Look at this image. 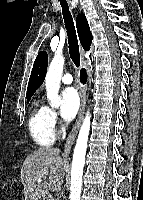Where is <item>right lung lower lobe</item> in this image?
Segmentation results:
<instances>
[{
	"label": "right lung lower lobe",
	"mask_w": 143,
	"mask_h": 200,
	"mask_svg": "<svg viewBox=\"0 0 143 200\" xmlns=\"http://www.w3.org/2000/svg\"><path fill=\"white\" fill-rule=\"evenodd\" d=\"M86 78H87L86 71L84 69H82L81 73H80L81 82L85 83L86 82Z\"/></svg>",
	"instance_id": "obj_1"
}]
</instances>
